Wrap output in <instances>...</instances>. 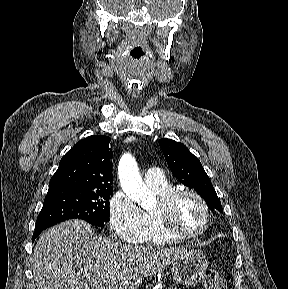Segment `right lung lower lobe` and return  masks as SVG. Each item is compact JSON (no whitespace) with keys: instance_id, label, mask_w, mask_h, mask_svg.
Instances as JSON below:
<instances>
[{"instance_id":"98d812e1","label":"right lung lower lobe","mask_w":288,"mask_h":289,"mask_svg":"<svg viewBox=\"0 0 288 289\" xmlns=\"http://www.w3.org/2000/svg\"><path fill=\"white\" fill-rule=\"evenodd\" d=\"M43 230L40 231H35V234L32 236V241L36 239V237L42 232Z\"/></svg>"}]
</instances>
